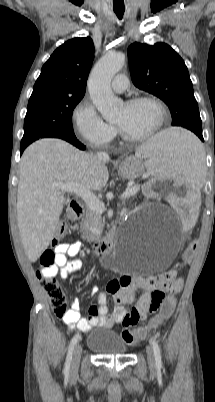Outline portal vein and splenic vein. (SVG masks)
<instances>
[{
    "label": "portal vein and splenic vein",
    "instance_id": "1",
    "mask_svg": "<svg viewBox=\"0 0 215 402\" xmlns=\"http://www.w3.org/2000/svg\"><path fill=\"white\" fill-rule=\"evenodd\" d=\"M57 186L62 192L74 193L80 198L84 200L87 206L94 210L95 212L102 214L105 210L104 203L99 200L90 190L84 188L82 185L76 182L71 183H56ZM139 186L129 187L127 188L123 194L121 195L122 199L128 198L130 196L135 195L139 191Z\"/></svg>",
    "mask_w": 215,
    "mask_h": 402
}]
</instances>
